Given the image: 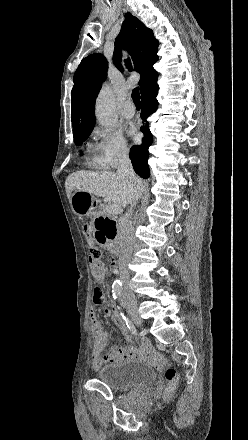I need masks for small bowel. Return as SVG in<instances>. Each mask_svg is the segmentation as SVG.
Instances as JSON below:
<instances>
[{
  "label": "small bowel",
  "mask_w": 248,
  "mask_h": 440,
  "mask_svg": "<svg viewBox=\"0 0 248 440\" xmlns=\"http://www.w3.org/2000/svg\"><path fill=\"white\" fill-rule=\"evenodd\" d=\"M99 289L103 292L101 288ZM93 299L94 303L99 305L105 314L123 329L117 310L105 298V294L103 299H96L95 296H93ZM89 320L93 342L91 362L94 369L128 359H146L156 366H160L163 363L162 356L152 347L151 342L146 337H142L137 344L127 339L125 347H113L107 353H104L107 345V335L94 309L90 311Z\"/></svg>",
  "instance_id": "c3829d8e"
}]
</instances>
